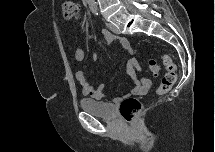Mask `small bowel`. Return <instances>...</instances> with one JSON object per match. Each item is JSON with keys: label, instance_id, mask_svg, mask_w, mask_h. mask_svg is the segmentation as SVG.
I'll return each instance as SVG.
<instances>
[{"label": "small bowel", "instance_id": "c3829d8e", "mask_svg": "<svg viewBox=\"0 0 215 152\" xmlns=\"http://www.w3.org/2000/svg\"><path fill=\"white\" fill-rule=\"evenodd\" d=\"M103 35H104V38L106 40V42L108 44H114V43H117V41L119 40L120 42V45L122 46V48L127 51V53L129 55H132L133 51L130 47V44H129V41L126 39V38H120L118 39L117 36H115L114 34H111L107 31H103ZM75 59L79 62L83 61L85 59V52L83 49L81 48H77L75 50ZM94 60H99L100 59V55L99 53H95L94 56H93ZM127 67L130 68V69H135L137 71L140 70V66H139V63L138 61L131 57L129 58V60L127 61ZM76 79L78 81V83L80 84L81 86V90H82V93L84 95H89L97 100H102L104 99V92H103V89H104V86L103 85H99L98 87H92L87 78H86V75L83 71H78L76 73ZM131 80H132V83L134 85L132 91H131V94L132 95H139V94H143L145 93L150 85H151V82L149 79L143 77V76H135L134 74L131 75Z\"/></svg>", "mask_w": 215, "mask_h": 152}]
</instances>
